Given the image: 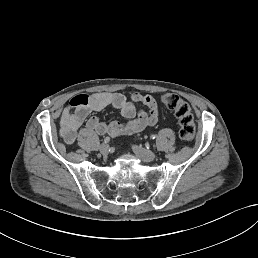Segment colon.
Listing matches in <instances>:
<instances>
[{
  "mask_svg": "<svg viewBox=\"0 0 258 258\" xmlns=\"http://www.w3.org/2000/svg\"><path fill=\"white\" fill-rule=\"evenodd\" d=\"M163 104L171 110L179 124V135L183 140L191 141L195 136V123L189 104L176 94H165Z\"/></svg>",
  "mask_w": 258,
  "mask_h": 258,
  "instance_id": "1",
  "label": "colon"
}]
</instances>
